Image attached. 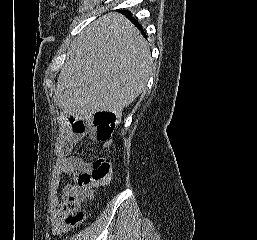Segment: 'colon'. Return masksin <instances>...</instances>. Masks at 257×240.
I'll list each match as a JSON object with an SVG mask.
<instances>
[{"label":"colon","mask_w":257,"mask_h":240,"mask_svg":"<svg viewBox=\"0 0 257 240\" xmlns=\"http://www.w3.org/2000/svg\"><path fill=\"white\" fill-rule=\"evenodd\" d=\"M92 128L95 130L96 139L100 142L110 140L117 125V117L114 113L98 112L94 115ZM67 128L75 134H83L87 126L77 119H68ZM111 174L110 160L104 156L95 159L91 169L78 177L77 184L66 195L58 200L63 219L69 226H77L84 220V214L80 211L81 203L90 197L93 190L107 182Z\"/></svg>","instance_id":"1"}]
</instances>
